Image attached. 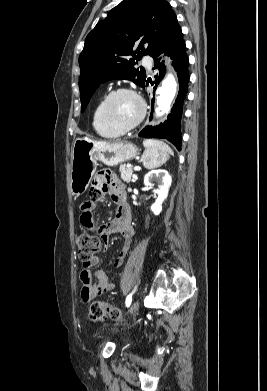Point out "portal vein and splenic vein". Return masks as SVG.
Masks as SVG:
<instances>
[{
    "mask_svg": "<svg viewBox=\"0 0 267 391\" xmlns=\"http://www.w3.org/2000/svg\"><path fill=\"white\" fill-rule=\"evenodd\" d=\"M128 167H131V166H128ZM134 169H137L136 167H134Z\"/></svg>",
    "mask_w": 267,
    "mask_h": 391,
    "instance_id": "18ae733b",
    "label": "portal vein and splenic vein"
}]
</instances>
